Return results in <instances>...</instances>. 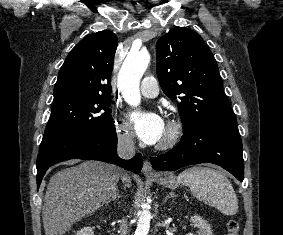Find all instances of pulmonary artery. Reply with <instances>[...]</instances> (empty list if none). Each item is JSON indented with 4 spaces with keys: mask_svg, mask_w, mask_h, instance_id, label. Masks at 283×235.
Wrapping results in <instances>:
<instances>
[{
    "mask_svg": "<svg viewBox=\"0 0 283 235\" xmlns=\"http://www.w3.org/2000/svg\"><path fill=\"white\" fill-rule=\"evenodd\" d=\"M140 92L144 97L154 98L159 93V87L153 76H146L142 79Z\"/></svg>",
    "mask_w": 283,
    "mask_h": 235,
    "instance_id": "obj_1",
    "label": "pulmonary artery"
}]
</instances>
